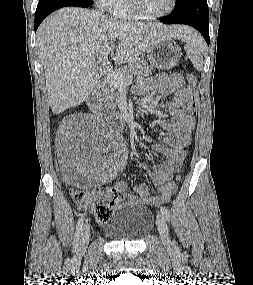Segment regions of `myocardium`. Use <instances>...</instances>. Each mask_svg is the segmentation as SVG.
Wrapping results in <instances>:
<instances>
[{"label":"myocardium","mask_w":253,"mask_h":285,"mask_svg":"<svg viewBox=\"0 0 253 285\" xmlns=\"http://www.w3.org/2000/svg\"><path fill=\"white\" fill-rule=\"evenodd\" d=\"M129 1H130L131 8L134 14L136 15V17L140 19H146V20H156V19H160L165 16H168L175 10L176 5H177V0H172L171 6L165 12L160 13V14H147L142 11L140 4H139V0H129Z\"/></svg>","instance_id":"obj_1"}]
</instances>
